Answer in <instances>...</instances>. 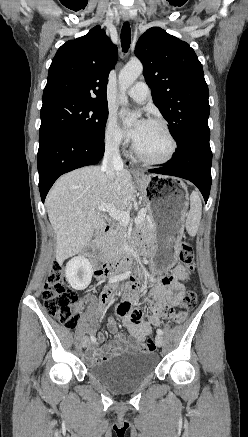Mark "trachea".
Wrapping results in <instances>:
<instances>
[{
  "mask_svg": "<svg viewBox=\"0 0 248 437\" xmlns=\"http://www.w3.org/2000/svg\"><path fill=\"white\" fill-rule=\"evenodd\" d=\"M131 43V29L128 22H125L122 26L121 30V46L123 49V52H127L130 48Z\"/></svg>",
  "mask_w": 248,
  "mask_h": 437,
  "instance_id": "obj_1",
  "label": "trachea"
}]
</instances>
